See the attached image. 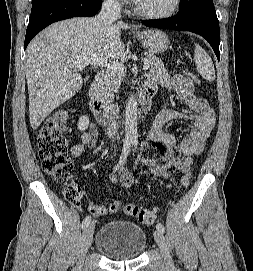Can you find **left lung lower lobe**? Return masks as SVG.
<instances>
[{"label":"left lung lower lobe","instance_id":"left-lung-lower-lobe-1","mask_svg":"<svg viewBox=\"0 0 253 271\" xmlns=\"http://www.w3.org/2000/svg\"><path fill=\"white\" fill-rule=\"evenodd\" d=\"M144 24L149 27L190 31L203 36L212 46L218 60H220L219 21L213 0L204 3L203 7L187 15L177 13L174 17L162 20H148Z\"/></svg>","mask_w":253,"mask_h":271}]
</instances>
